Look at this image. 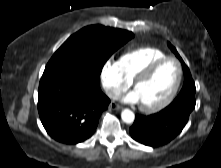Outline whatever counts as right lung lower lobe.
Segmentation results:
<instances>
[{"instance_id": "obj_1", "label": "right lung lower lobe", "mask_w": 221, "mask_h": 168, "mask_svg": "<svg viewBox=\"0 0 221 168\" xmlns=\"http://www.w3.org/2000/svg\"><path fill=\"white\" fill-rule=\"evenodd\" d=\"M109 98L100 89V73L83 63L46 65L38 89V112L56 141L77 144L94 133Z\"/></svg>"}]
</instances>
